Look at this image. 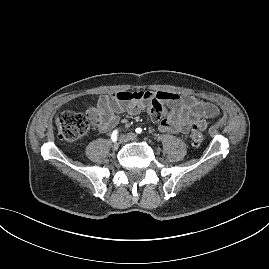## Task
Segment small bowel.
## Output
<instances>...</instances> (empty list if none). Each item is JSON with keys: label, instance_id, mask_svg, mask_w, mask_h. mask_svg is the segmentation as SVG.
<instances>
[{"label": "small bowel", "instance_id": "obj_1", "mask_svg": "<svg viewBox=\"0 0 269 269\" xmlns=\"http://www.w3.org/2000/svg\"><path fill=\"white\" fill-rule=\"evenodd\" d=\"M155 98L170 108L167 115L152 119L163 132L187 134L194 125H199L204 130L219 115L218 107L208 101L170 92L147 91H122L103 95L96 105L87 110V115L99 130L109 131L118 125V113L137 114Z\"/></svg>", "mask_w": 269, "mask_h": 269}]
</instances>
